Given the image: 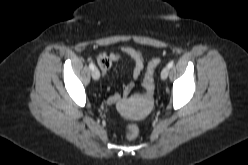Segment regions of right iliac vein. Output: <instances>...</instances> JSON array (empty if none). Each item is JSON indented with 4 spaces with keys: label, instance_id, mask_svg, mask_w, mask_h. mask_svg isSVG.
<instances>
[{
    "label": "right iliac vein",
    "instance_id": "63e3f726",
    "mask_svg": "<svg viewBox=\"0 0 248 165\" xmlns=\"http://www.w3.org/2000/svg\"><path fill=\"white\" fill-rule=\"evenodd\" d=\"M92 78H93L94 80H98V79L100 78V72H99L98 69L94 68V69L92 70Z\"/></svg>",
    "mask_w": 248,
    "mask_h": 165
}]
</instances>
